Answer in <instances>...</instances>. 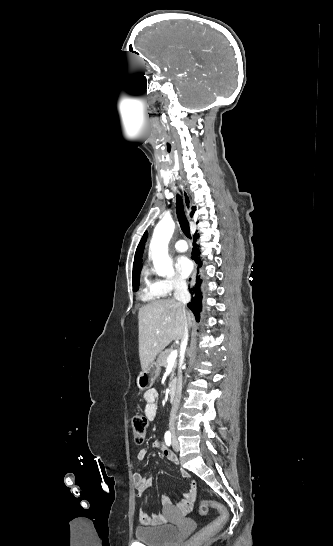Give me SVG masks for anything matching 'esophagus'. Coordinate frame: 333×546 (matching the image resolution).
<instances>
[{"instance_id": "34e87169", "label": "esophagus", "mask_w": 333, "mask_h": 546, "mask_svg": "<svg viewBox=\"0 0 333 546\" xmlns=\"http://www.w3.org/2000/svg\"><path fill=\"white\" fill-rule=\"evenodd\" d=\"M180 189L182 191L184 205L186 207L187 212H189L191 208V201H190L189 195L183 185H180ZM194 280H195V273L192 274V283H194Z\"/></svg>"}]
</instances>
